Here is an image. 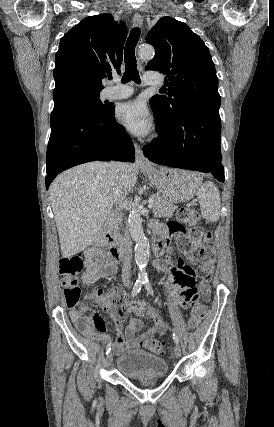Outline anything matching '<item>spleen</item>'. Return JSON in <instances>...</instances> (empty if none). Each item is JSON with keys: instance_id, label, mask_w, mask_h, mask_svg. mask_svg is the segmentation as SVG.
<instances>
[{"instance_id": "1", "label": "spleen", "mask_w": 274, "mask_h": 427, "mask_svg": "<svg viewBox=\"0 0 274 427\" xmlns=\"http://www.w3.org/2000/svg\"><path fill=\"white\" fill-rule=\"evenodd\" d=\"M201 214L207 221H218L220 217V196L212 182H200L197 190Z\"/></svg>"}]
</instances>
